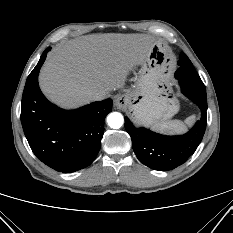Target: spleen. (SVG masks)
Segmentation results:
<instances>
[{
    "mask_svg": "<svg viewBox=\"0 0 233 233\" xmlns=\"http://www.w3.org/2000/svg\"><path fill=\"white\" fill-rule=\"evenodd\" d=\"M195 121V116H189L185 119V121L181 120H170V121H164L160 122L156 125H153V129L159 132L163 133H183L186 131L187 126H191Z\"/></svg>",
    "mask_w": 233,
    "mask_h": 233,
    "instance_id": "spleen-1",
    "label": "spleen"
}]
</instances>
